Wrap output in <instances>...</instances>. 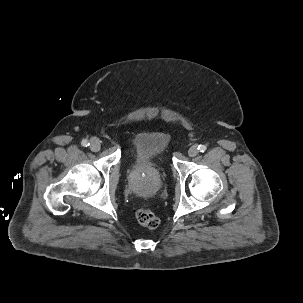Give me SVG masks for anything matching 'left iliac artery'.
Segmentation results:
<instances>
[{
    "label": "left iliac artery",
    "instance_id": "obj_1",
    "mask_svg": "<svg viewBox=\"0 0 303 303\" xmlns=\"http://www.w3.org/2000/svg\"><path fill=\"white\" fill-rule=\"evenodd\" d=\"M206 146L205 145H199L198 146V150L200 151V152H205L206 151Z\"/></svg>",
    "mask_w": 303,
    "mask_h": 303
}]
</instances>
